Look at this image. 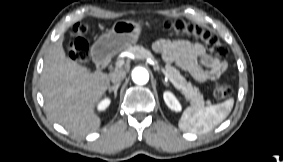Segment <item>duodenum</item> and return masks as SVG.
I'll use <instances>...</instances> for the list:
<instances>
[{
  "instance_id": "duodenum-1",
  "label": "duodenum",
  "mask_w": 283,
  "mask_h": 162,
  "mask_svg": "<svg viewBox=\"0 0 283 162\" xmlns=\"http://www.w3.org/2000/svg\"><path fill=\"white\" fill-rule=\"evenodd\" d=\"M95 58L97 61V65L100 68H105L109 64V57L103 50H98L95 53Z\"/></svg>"
}]
</instances>
